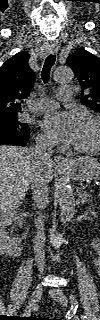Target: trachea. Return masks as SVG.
<instances>
[{
	"label": "trachea",
	"instance_id": "obj_1",
	"mask_svg": "<svg viewBox=\"0 0 100 320\" xmlns=\"http://www.w3.org/2000/svg\"><path fill=\"white\" fill-rule=\"evenodd\" d=\"M55 59H56L55 55L50 54L45 60V63L41 72V78L44 83H48L49 81L50 70L55 63Z\"/></svg>",
	"mask_w": 100,
	"mask_h": 320
}]
</instances>
